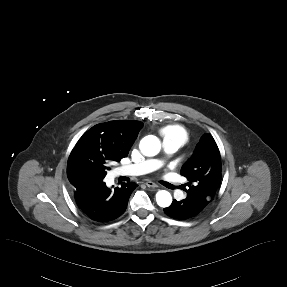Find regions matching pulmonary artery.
Returning <instances> with one entry per match:
<instances>
[{"label":"pulmonary artery","mask_w":287,"mask_h":287,"mask_svg":"<svg viewBox=\"0 0 287 287\" xmlns=\"http://www.w3.org/2000/svg\"><path fill=\"white\" fill-rule=\"evenodd\" d=\"M179 148L180 145L178 142L171 139L163 140V149L167 154H173ZM162 164H163L162 159H149L141 163L122 166L117 170V175L119 176L142 175L157 170L158 168L161 167ZM171 186L175 192L179 191V189H177L176 184H172Z\"/></svg>","instance_id":"1"}]
</instances>
